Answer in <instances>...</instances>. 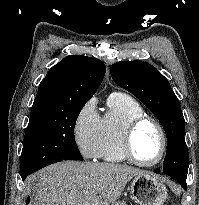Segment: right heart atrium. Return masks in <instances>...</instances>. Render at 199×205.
I'll return each mask as SVG.
<instances>
[{
    "mask_svg": "<svg viewBox=\"0 0 199 205\" xmlns=\"http://www.w3.org/2000/svg\"><path fill=\"white\" fill-rule=\"evenodd\" d=\"M101 118L96 111V100H88L80 109L73 135L80 153L87 159L99 157Z\"/></svg>",
    "mask_w": 199,
    "mask_h": 205,
    "instance_id": "obj_1",
    "label": "right heart atrium"
}]
</instances>
